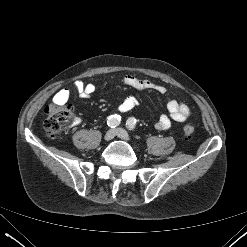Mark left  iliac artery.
<instances>
[{
    "mask_svg": "<svg viewBox=\"0 0 247 247\" xmlns=\"http://www.w3.org/2000/svg\"><path fill=\"white\" fill-rule=\"evenodd\" d=\"M135 124H136V119L134 117H130L126 121V126L129 130H134Z\"/></svg>",
    "mask_w": 247,
    "mask_h": 247,
    "instance_id": "left-iliac-artery-1",
    "label": "left iliac artery"
}]
</instances>
